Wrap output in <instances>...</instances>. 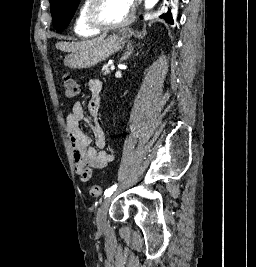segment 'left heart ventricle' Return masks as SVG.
Instances as JSON below:
<instances>
[{"label":"left heart ventricle","instance_id":"obj_1","mask_svg":"<svg viewBox=\"0 0 256 267\" xmlns=\"http://www.w3.org/2000/svg\"><path fill=\"white\" fill-rule=\"evenodd\" d=\"M98 17L105 24L120 25L131 20L132 12L126 10L118 1L109 0L101 3Z\"/></svg>","mask_w":256,"mask_h":267}]
</instances>
